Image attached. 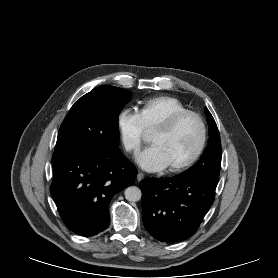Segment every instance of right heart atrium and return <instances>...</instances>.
<instances>
[{"label": "right heart atrium", "mask_w": 278, "mask_h": 278, "mask_svg": "<svg viewBox=\"0 0 278 278\" xmlns=\"http://www.w3.org/2000/svg\"><path fill=\"white\" fill-rule=\"evenodd\" d=\"M117 129L125 150L129 153L137 151L146 130L139 113L130 108L121 110L117 116Z\"/></svg>", "instance_id": "1"}]
</instances>
